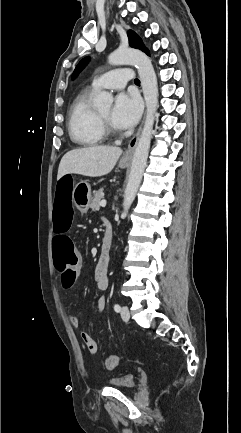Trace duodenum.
I'll list each match as a JSON object with an SVG mask.
<instances>
[{"mask_svg": "<svg viewBox=\"0 0 241 433\" xmlns=\"http://www.w3.org/2000/svg\"><path fill=\"white\" fill-rule=\"evenodd\" d=\"M105 233L102 240L101 255L107 257L113 241V229L108 220H105Z\"/></svg>", "mask_w": 241, "mask_h": 433, "instance_id": "1", "label": "duodenum"}]
</instances>
